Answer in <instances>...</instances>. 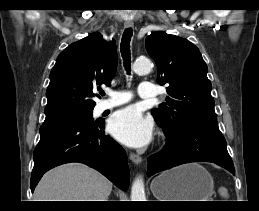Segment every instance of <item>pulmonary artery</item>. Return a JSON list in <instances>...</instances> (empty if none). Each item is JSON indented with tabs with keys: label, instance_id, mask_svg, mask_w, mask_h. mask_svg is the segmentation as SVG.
I'll return each instance as SVG.
<instances>
[{
	"label": "pulmonary artery",
	"instance_id": "pulmonary-artery-1",
	"mask_svg": "<svg viewBox=\"0 0 259 211\" xmlns=\"http://www.w3.org/2000/svg\"><path fill=\"white\" fill-rule=\"evenodd\" d=\"M108 93L109 98L98 103V112H103L123 105L132 99L130 93L123 90H109ZM138 93L141 98L145 99H152L158 95L156 87L152 83L146 81L140 83Z\"/></svg>",
	"mask_w": 259,
	"mask_h": 211
}]
</instances>
